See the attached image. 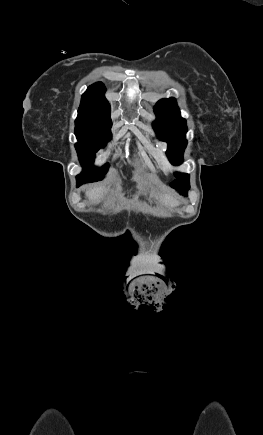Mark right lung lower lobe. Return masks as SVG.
<instances>
[{"mask_svg": "<svg viewBox=\"0 0 263 435\" xmlns=\"http://www.w3.org/2000/svg\"><path fill=\"white\" fill-rule=\"evenodd\" d=\"M82 184H83L82 182H77L76 186L79 187Z\"/></svg>", "mask_w": 263, "mask_h": 435, "instance_id": "98d812e1", "label": "right lung lower lobe"}]
</instances>
